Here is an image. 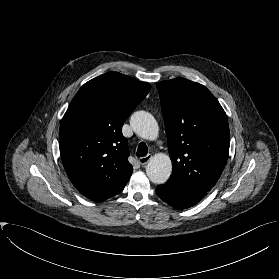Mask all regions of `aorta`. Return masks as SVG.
<instances>
[{
  "mask_svg": "<svg viewBox=\"0 0 279 279\" xmlns=\"http://www.w3.org/2000/svg\"><path fill=\"white\" fill-rule=\"evenodd\" d=\"M134 132L147 140H154L159 131L155 118L146 111L135 112L130 119ZM172 173V162L168 155L157 154L151 158L146 166V174L155 184L165 183Z\"/></svg>",
  "mask_w": 279,
  "mask_h": 279,
  "instance_id": "aorta-1",
  "label": "aorta"
}]
</instances>
